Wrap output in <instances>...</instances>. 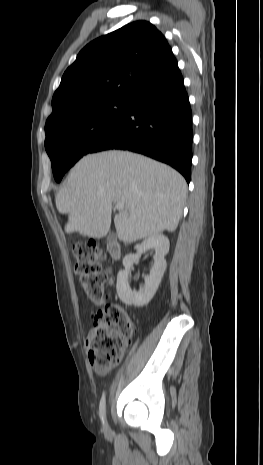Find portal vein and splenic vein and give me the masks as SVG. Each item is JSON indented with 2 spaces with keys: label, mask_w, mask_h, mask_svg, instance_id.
<instances>
[{
  "label": "portal vein and splenic vein",
  "mask_w": 263,
  "mask_h": 465,
  "mask_svg": "<svg viewBox=\"0 0 263 465\" xmlns=\"http://www.w3.org/2000/svg\"><path fill=\"white\" fill-rule=\"evenodd\" d=\"M116 209H117L118 211H122V210L124 209V205H123L122 203H117V204H116Z\"/></svg>",
  "instance_id": "obj_1"
}]
</instances>
